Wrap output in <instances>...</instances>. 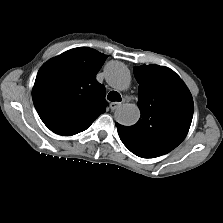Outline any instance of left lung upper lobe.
<instances>
[{
	"label": "left lung upper lobe",
	"instance_id": "1",
	"mask_svg": "<svg viewBox=\"0 0 223 223\" xmlns=\"http://www.w3.org/2000/svg\"><path fill=\"white\" fill-rule=\"evenodd\" d=\"M139 83V121L116 123L123 144L135 155L154 158L176 148L186 137L193 117L192 96L180 77L159 65L134 68Z\"/></svg>",
	"mask_w": 223,
	"mask_h": 223
}]
</instances>
